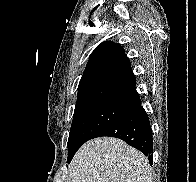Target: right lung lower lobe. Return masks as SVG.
Instances as JSON below:
<instances>
[{
	"label": "right lung lower lobe",
	"instance_id": "obj_1",
	"mask_svg": "<svg viewBox=\"0 0 196 182\" xmlns=\"http://www.w3.org/2000/svg\"><path fill=\"white\" fill-rule=\"evenodd\" d=\"M102 136L116 137L125 141L147 156L152 165V130L149 117L141 102L128 113L102 128L93 138Z\"/></svg>",
	"mask_w": 196,
	"mask_h": 182
}]
</instances>
